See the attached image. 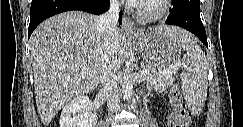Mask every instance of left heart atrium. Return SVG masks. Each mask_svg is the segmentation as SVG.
Here are the masks:
<instances>
[{"instance_id":"1","label":"left heart atrium","mask_w":243,"mask_h":127,"mask_svg":"<svg viewBox=\"0 0 243 127\" xmlns=\"http://www.w3.org/2000/svg\"><path fill=\"white\" fill-rule=\"evenodd\" d=\"M127 2H128L130 5H134V6H136V5L140 4V3H142L143 1H142V0H128Z\"/></svg>"}]
</instances>
